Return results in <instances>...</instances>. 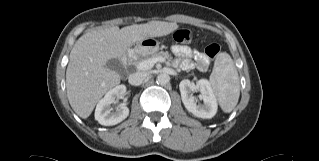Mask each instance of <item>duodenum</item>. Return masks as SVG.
I'll return each mask as SVG.
<instances>
[{
    "instance_id": "duodenum-1",
    "label": "duodenum",
    "mask_w": 319,
    "mask_h": 161,
    "mask_svg": "<svg viewBox=\"0 0 319 161\" xmlns=\"http://www.w3.org/2000/svg\"><path fill=\"white\" fill-rule=\"evenodd\" d=\"M127 60H128L127 55H124V56H123V61L126 62Z\"/></svg>"
}]
</instances>
